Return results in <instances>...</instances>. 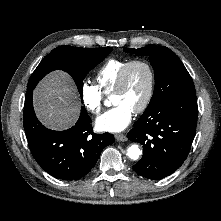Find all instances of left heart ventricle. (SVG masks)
<instances>
[{
  "instance_id": "left-heart-ventricle-1",
  "label": "left heart ventricle",
  "mask_w": 221,
  "mask_h": 221,
  "mask_svg": "<svg viewBox=\"0 0 221 221\" xmlns=\"http://www.w3.org/2000/svg\"><path fill=\"white\" fill-rule=\"evenodd\" d=\"M149 85V75L142 65L133 66L127 76L124 89L112 96L114 105L124 104L134 111L143 102Z\"/></svg>"
}]
</instances>
